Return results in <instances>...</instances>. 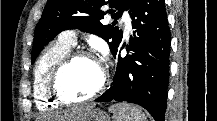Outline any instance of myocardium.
<instances>
[{
  "mask_svg": "<svg viewBox=\"0 0 217 121\" xmlns=\"http://www.w3.org/2000/svg\"><path fill=\"white\" fill-rule=\"evenodd\" d=\"M89 58L97 61L102 69V77L98 87L87 97L76 99L65 96L60 89V77L62 73L76 60ZM109 80V71L105 64L91 52L86 50H72L68 52L53 68L48 79L50 97L59 104L80 105L97 98L105 90Z\"/></svg>",
  "mask_w": 217,
  "mask_h": 121,
  "instance_id": "myocardium-1",
  "label": "myocardium"
}]
</instances>
